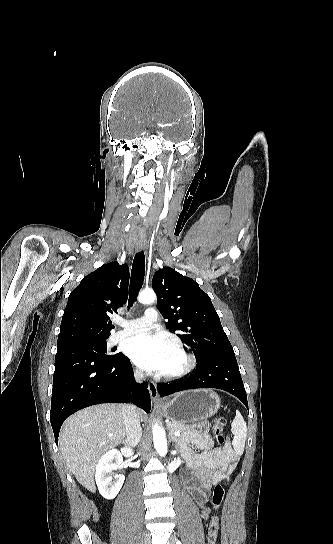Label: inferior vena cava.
Returning a JSON list of instances; mask_svg holds the SVG:
<instances>
[{
	"label": "inferior vena cava",
	"instance_id": "602c4592",
	"mask_svg": "<svg viewBox=\"0 0 333 544\" xmlns=\"http://www.w3.org/2000/svg\"><path fill=\"white\" fill-rule=\"evenodd\" d=\"M135 378L137 382H140L144 378L143 372L136 370ZM122 414L127 435V445L130 447L137 446L142 436V428L136 408L131 404H124L122 406Z\"/></svg>",
	"mask_w": 333,
	"mask_h": 544
}]
</instances>
